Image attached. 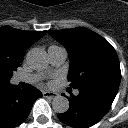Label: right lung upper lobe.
Masks as SVG:
<instances>
[{
    "label": "right lung upper lobe",
    "mask_w": 128,
    "mask_h": 128,
    "mask_svg": "<svg viewBox=\"0 0 128 128\" xmlns=\"http://www.w3.org/2000/svg\"><path fill=\"white\" fill-rule=\"evenodd\" d=\"M46 31H23L10 26L0 27V62L18 67L24 53Z\"/></svg>",
    "instance_id": "1"
}]
</instances>
